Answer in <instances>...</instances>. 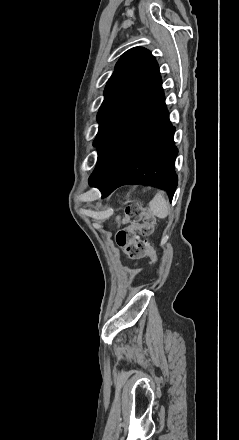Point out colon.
<instances>
[{
	"mask_svg": "<svg viewBox=\"0 0 239 440\" xmlns=\"http://www.w3.org/2000/svg\"><path fill=\"white\" fill-rule=\"evenodd\" d=\"M118 223L128 224V226L117 232V243L120 246L131 244L130 256L133 258L148 256L156 262L158 255L150 244L146 240H134L137 234L147 237L152 233L155 218L151 212L140 204H133L126 208L124 217L119 219Z\"/></svg>",
	"mask_w": 239,
	"mask_h": 440,
	"instance_id": "5ec220e1",
	"label": "colon"
}]
</instances>
